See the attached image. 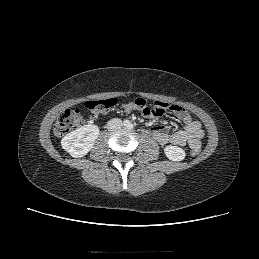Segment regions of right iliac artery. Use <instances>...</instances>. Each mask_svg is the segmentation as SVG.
<instances>
[{
    "label": "right iliac artery",
    "mask_w": 259,
    "mask_h": 259,
    "mask_svg": "<svg viewBox=\"0 0 259 259\" xmlns=\"http://www.w3.org/2000/svg\"><path fill=\"white\" fill-rule=\"evenodd\" d=\"M128 123H129V122H128L127 120L124 121V125H128Z\"/></svg>",
    "instance_id": "obj_1"
}]
</instances>
